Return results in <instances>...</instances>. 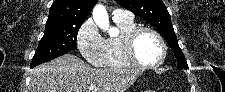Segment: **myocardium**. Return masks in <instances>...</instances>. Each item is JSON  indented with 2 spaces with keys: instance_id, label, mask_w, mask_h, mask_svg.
Listing matches in <instances>:
<instances>
[{
  "instance_id": "f54148a6",
  "label": "myocardium",
  "mask_w": 225,
  "mask_h": 92,
  "mask_svg": "<svg viewBox=\"0 0 225 92\" xmlns=\"http://www.w3.org/2000/svg\"><path fill=\"white\" fill-rule=\"evenodd\" d=\"M142 32H149L153 34L157 40L159 41L161 48H162V55L159 61L152 64L143 63L137 56L135 52V43L137 37ZM122 50L125 59L131 64L133 67L142 68V69H153L160 67L166 60L167 57V44L161 34L156 31L155 29L148 27V26H136L135 28L131 29L123 38L122 40Z\"/></svg>"
}]
</instances>
